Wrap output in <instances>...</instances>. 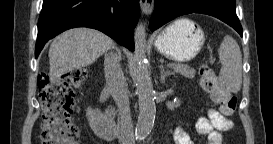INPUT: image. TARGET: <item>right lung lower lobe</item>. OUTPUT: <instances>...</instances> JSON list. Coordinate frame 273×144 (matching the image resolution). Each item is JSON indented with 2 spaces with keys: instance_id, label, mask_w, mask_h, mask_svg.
<instances>
[{
  "instance_id": "98d812e1",
  "label": "right lung lower lobe",
  "mask_w": 273,
  "mask_h": 144,
  "mask_svg": "<svg viewBox=\"0 0 273 144\" xmlns=\"http://www.w3.org/2000/svg\"><path fill=\"white\" fill-rule=\"evenodd\" d=\"M138 18L139 0H43L35 57L48 40L74 27L100 30L133 51Z\"/></svg>"
}]
</instances>
